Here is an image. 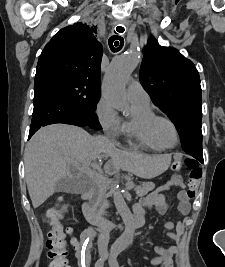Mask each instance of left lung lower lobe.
<instances>
[{
	"label": "left lung lower lobe",
	"mask_w": 225,
	"mask_h": 267,
	"mask_svg": "<svg viewBox=\"0 0 225 267\" xmlns=\"http://www.w3.org/2000/svg\"><path fill=\"white\" fill-rule=\"evenodd\" d=\"M195 159L201 163H203V157H195Z\"/></svg>",
	"instance_id": "obj_1"
}]
</instances>
